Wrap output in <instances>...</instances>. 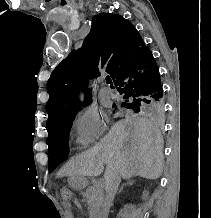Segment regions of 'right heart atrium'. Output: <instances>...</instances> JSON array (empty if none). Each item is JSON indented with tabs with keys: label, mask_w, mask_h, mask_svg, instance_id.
Wrapping results in <instances>:
<instances>
[{
	"label": "right heart atrium",
	"mask_w": 211,
	"mask_h": 218,
	"mask_svg": "<svg viewBox=\"0 0 211 218\" xmlns=\"http://www.w3.org/2000/svg\"><path fill=\"white\" fill-rule=\"evenodd\" d=\"M78 142L86 146L98 138L105 129L102 113L95 108L82 110L72 121Z\"/></svg>",
	"instance_id": "1"
}]
</instances>
